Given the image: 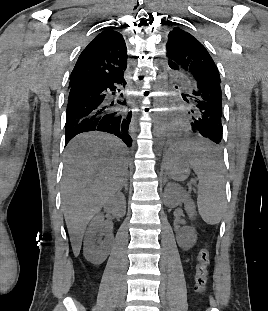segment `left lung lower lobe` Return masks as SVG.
Returning <instances> with one entry per match:
<instances>
[{
	"label": "left lung lower lobe",
	"mask_w": 268,
	"mask_h": 311,
	"mask_svg": "<svg viewBox=\"0 0 268 311\" xmlns=\"http://www.w3.org/2000/svg\"><path fill=\"white\" fill-rule=\"evenodd\" d=\"M186 75L192 87L191 93L186 95L189 97L186 101L190 103L191 110L180 127L181 132H175V139L181 142L207 140L219 147L223 137L221 83L202 71Z\"/></svg>",
	"instance_id": "obj_1"
}]
</instances>
